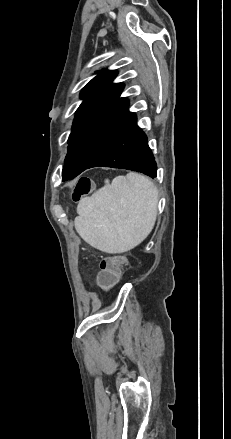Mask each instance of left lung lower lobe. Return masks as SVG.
<instances>
[{"instance_id": "left-lung-lower-lobe-1", "label": "left lung lower lobe", "mask_w": 231, "mask_h": 439, "mask_svg": "<svg viewBox=\"0 0 231 439\" xmlns=\"http://www.w3.org/2000/svg\"><path fill=\"white\" fill-rule=\"evenodd\" d=\"M136 122V115L129 112L104 141L85 170L92 167H112L156 177L157 166L147 137Z\"/></svg>"}]
</instances>
